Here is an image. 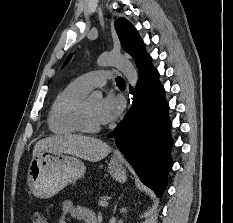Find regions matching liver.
<instances>
[{"label":"liver","mask_w":233,"mask_h":223,"mask_svg":"<svg viewBox=\"0 0 233 223\" xmlns=\"http://www.w3.org/2000/svg\"><path fill=\"white\" fill-rule=\"evenodd\" d=\"M40 151H58V153H71L88 161H100L111 151L106 141L89 137V135H53L37 141L33 149V157Z\"/></svg>","instance_id":"liver-1"}]
</instances>
